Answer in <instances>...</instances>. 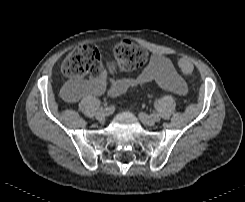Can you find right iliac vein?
I'll list each match as a JSON object with an SVG mask.
<instances>
[{
    "mask_svg": "<svg viewBox=\"0 0 245 202\" xmlns=\"http://www.w3.org/2000/svg\"><path fill=\"white\" fill-rule=\"evenodd\" d=\"M109 115V112L105 109H101V110H98L97 113H96V118L99 120V121H102L103 119H105L106 116Z\"/></svg>",
    "mask_w": 245,
    "mask_h": 202,
    "instance_id": "right-iliac-vein-1",
    "label": "right iliac vein"
}]
</instances>
